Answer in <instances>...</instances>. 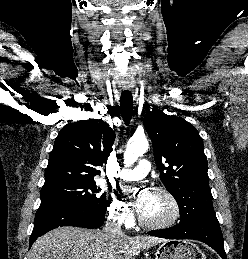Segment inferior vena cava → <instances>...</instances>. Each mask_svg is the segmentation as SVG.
<instances>
[{
  "mask_svg": "<svg viewBox=\"0 0 248 259\" xmlns=\"http://www.w3.org/2000/svg\"><path fill=\"white\" fill-rule=\"evenodd\" d=\"M121 222V220L117 222L115 217L110 216L106 222L105 231L112 235L123 236Z\"/></svg>",
  "mask_w": 248,
  "mask_h": 259,
  "instance_id": "obj_1",
  "label": "inferior vena cava"
}]
</instances>
